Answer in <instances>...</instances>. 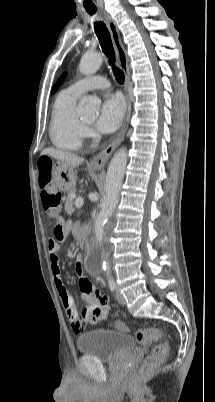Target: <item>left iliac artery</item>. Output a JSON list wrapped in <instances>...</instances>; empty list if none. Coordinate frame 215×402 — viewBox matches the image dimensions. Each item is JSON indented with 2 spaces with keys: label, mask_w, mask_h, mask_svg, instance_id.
<instances>
[{
  "label": "left iliac artery",
  "mask_w": 215,
  "mask_h": 402,
  "mask_svg": "<svg viewBox=\"0 0 215 402\" xmlns=\"http://www.w3.org/2000/svg\"><path fill=\"white\" fill-rule=\"evenodd\" d=\"M108 285L112 291L116 289V283L113 278L108 279Z\"/></svg>",
  "instance_id": "44dca946"
}]
</instances>
